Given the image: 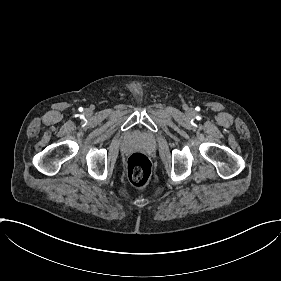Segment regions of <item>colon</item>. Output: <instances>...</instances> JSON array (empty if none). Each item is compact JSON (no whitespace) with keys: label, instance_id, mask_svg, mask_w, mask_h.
Returning a JSON list of instances; mask_svg holds the SVG:
<instances>
[{"label":"colon","instance_id":"obj_1","mask_svg":"<svg viewBox=\"0 0 281 281\" xmlns=\"http://www.w3.org/2000/svg\"><path fill=\"white\" fill-rule=\"evenodd\" d=\"M151 162L142 153L136 152L129 156L126 172L130 184L137 189H144L150 182Z\"/></svg>","mask_w":281,"mask_h":281}]
</instances>
